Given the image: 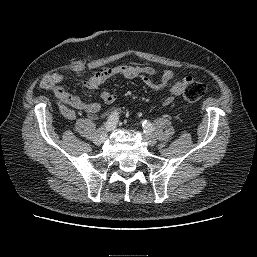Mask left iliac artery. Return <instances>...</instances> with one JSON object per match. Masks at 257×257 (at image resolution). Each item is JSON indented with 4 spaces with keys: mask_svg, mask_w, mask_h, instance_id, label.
Here are the masks:
<instances>
[{
    "mask_svg": "<svg viewBox=\"0 0 257 257\" xmlns=\"http://www.w3.org/2000/svg\"><path fill=\"white\" fill-rule=\"evenodd\" d=\"M142 125H143V128H144V133H146V132L149 133V132L154 131V127L149 121L144 120Z\"/></svg>",
    "mask_w": 257,
    "mask_h": 257,
    "instance_id": "left-iliac-artery-1",
    "label": "left iliac artery"
}]
</instances>
